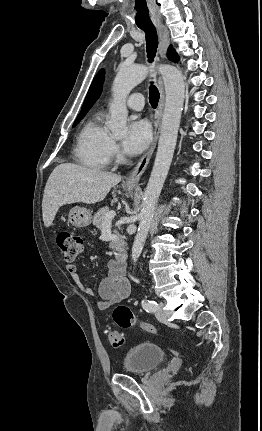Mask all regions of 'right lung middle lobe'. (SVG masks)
Here are the masks:
<instances>
[{"label": "right lung middle lobe", "mask_w": 262, "mask_h": 431, "mask_svg": "<svg viewBox=\"0 0 262 431\" xmlns=\"http://www.w3.org/2000/svg\"><path fill=\"white\" fill-rule=\"evenodd\" d=\"M84 117V115L82 116H78L77 119L75 120L73 127L76 126L78 124V122Z\"/></svg>", "instance_id": "right-lung-middle-lobe-1"}]
</instances>
